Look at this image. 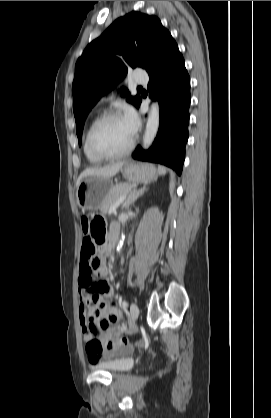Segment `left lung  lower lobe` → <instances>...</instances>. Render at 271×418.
Here are the masks:
<instances>
[{
  "instance_id": "obj_1",
  "label": "left lung lower lobe",
  "mask_w": 271,
  "mask_h": 418,
  "mask_svg": "<svg viewBox=\"0 0 271 418\" xmlns=\"http://www.w3.org/2000/svg\"><path fill=\"white\" fill-rule=\"evenodd\" d=\"M150 97L160 105V126L151 148L140 146L133 158L166 165L181 174L188 140L190 78L182 54L170 37L158 62L148 71ZM141 100L137 107H139Z\"/></svg>"
}]
</instances>
